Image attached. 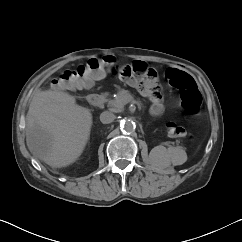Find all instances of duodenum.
I'll list each match as a JSON object with an SVG mask.
<instances>
[{
	"mask_svg": "<svg viewBox=\"0 0 242 242\" xmlns=\"http://www.w3.org/2000/svg\"><path fill=\"white\" fill-rule=\"evenodd\" d=\"M87 101L90 105L98 107V106H101L103 104L104 98L100 94H90L87 97Z\"/></svg>",
	"mask_w": 242,
	"mask_h": 242,
	"instance_id": "obj_1",
	"label": "duodenum"
}]
</instances>
